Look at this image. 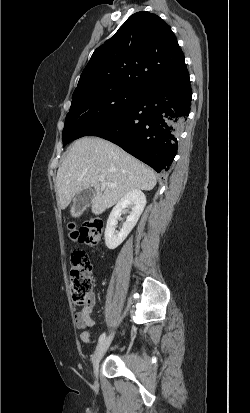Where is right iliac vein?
Wrapping results in <instances>:
<instances>
[{"label":"right iliac vein","mask_w":250,"mask_h":413,"mask_svg":"<svg viewBox=\"0 0 250 413\" xmlns=\"http://www.w3.org/2000/svg\"><path fill=\"white\" fill-rule=\"evenodd\" d=\"M113 338V335H110L109 337H107L106 339H104L101 343H99V345L97 346L94 355H93V370H94V374L95 376L98 375V370H99V363L101 361V359L103 358L105 352L107 351L111 340Z\"/></svg>","instance_id":"right-iliac-vein-1"}]
</instances>
